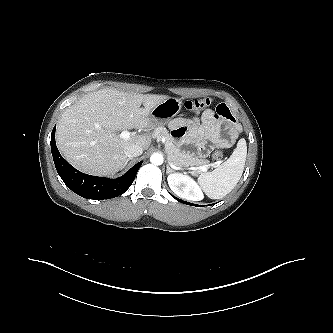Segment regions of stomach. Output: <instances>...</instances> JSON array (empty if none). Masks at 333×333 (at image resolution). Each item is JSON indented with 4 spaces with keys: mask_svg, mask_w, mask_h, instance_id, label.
Masks as SVG:
<instances>
[{
    "mask_svg": "<svg viewBox=\"0 0 333 333\" xmlns=\"http://www.w3.org/2000/svg\"><path fill=\"white\" fill-rule=\"evenodd\" d=\"M182 101L176 97H168L157 104L149 114L153 124L164 125L171 121L181 110ZM185 167L192 165H183Z\"/></svg>",
    "mask_w": 333,
    "mask_h": 333,
    "instance_id": "stomach-1",
    "label": "stomach"
}]
</instances>
